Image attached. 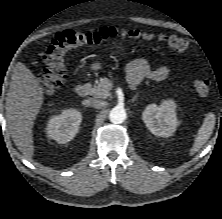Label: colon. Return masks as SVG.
Here are the masks:
<instances>
[{"label": "colon", "mask_w": 222, "mask_h": 219, "mask_svg": "<svg viewBox=\"0 0 222 219\" xmlns=\"http://www.w3.org/2000/svg\"><path fill=\"white\" fill-rule=\"evenodd\" d=\"M117 38L149 41L154 36L138 29L119 30L114 27H102L93 31L68 30L59 33L51 41L44 55L45 67L41 76L43 88L52 91L65 83L69 51L81 46L99 45ZM158 39L175 51L183 52L190 47L187 39L177 35L159 36ZM210 87L211 83L207 79H198L194 82V89L199 95H207Z\"/></svg>", "instance_id": "obj_1"}]
</instances>
